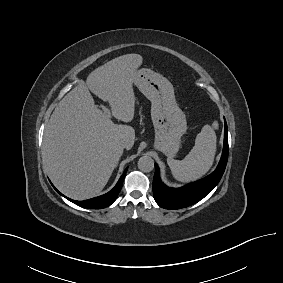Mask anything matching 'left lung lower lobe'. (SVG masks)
Listing matches in <instances>:
<instances>
[{"label":"left lung lower lobe","mask_w":283,"mask_h":283,"mask_svg":"<svg viewBox=\"0 0 283 283\" xmlns=\"http://www.w3.org/2000/svg\"><path fill=\"white\" fill-rule=\"evenodd\" d=\"M228 129L225 121L224 146L220 162L209 176L185 185L181 188L166 186L159 177V168L155 164L153 194L157 204L165 209H180L193 205L207 196L219 183L228 160Z\"/></svg>","instance_id":"1"}]
</instances>
